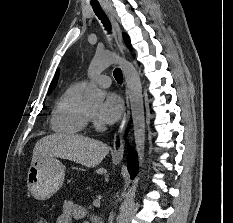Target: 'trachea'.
<instances>
[{
  "instance_id": "1",
  "label": "trachea",
  "mask_w": 233,
  "mask_h": 223,
  "mask_svg": "<svg viewBox=\"0 0 233 223\" xmlns=\"http://www.w3.org/2000/svg\"><path fill=\"white\" fill-rule=\"evenodd\" d=\"M92 7H93L96 15L98 16V18L103 23V26L105 27V29L110 33L111 32V24H110L107 16L105 15V13L101 9L99 3H93ZM113 74H114L115 80L118 83L123 82L122 70L120 68H115Z\"/></svg>"
}]
</instances>
